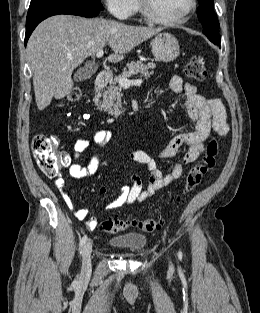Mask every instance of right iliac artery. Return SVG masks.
<instances>
[{"instance_id":"1","label":"right iliac artery","mask_w":260,"mask_h":313,"mask_svg":"<svg viewBox=\"0 0 260 313\" xmlns=\"http://www.w3.org/2000/svg\"><path fill=\"white\" fill-rule=\"evenodd\" d=\"M86 241H87V236L85 235V236L82 237V239L80 240V243H79V250H80V252H81L83 246L85 245Z\"/></svg>"}]
</instances>
